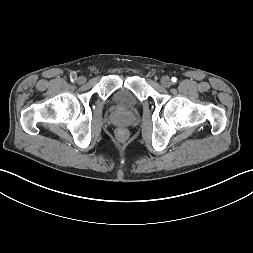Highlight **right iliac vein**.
I'll return each mask as SVG.
<instances>
[{
  "label": "right iliac vein",
  "instance_id": "right-iliac-vein-1",
  "mask_svg": "<svg viewBox=\"0 0 253 253\" xmlns=\"http://www.w3.org/2000/svg\"><path fill=\"white\" fill-rule=\"evenodd\" d=\"M76 81H77L78 84H84L86 82V78L84 76H79L76 79Z\"/></svg>",
  "mask_w": 253,
  "mask_h": 253
}]
</instances>
